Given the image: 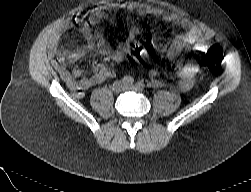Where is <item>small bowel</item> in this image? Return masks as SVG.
Masks as SVG:
<instances>
[{
	"label": "small bowel",
	"instance_id": "obj_1",
	"mask_svg": "<svg viewBox=\"0 0 251 192\" xmlns=\"http://www.w3.org/2000/svg\"><path fill=\"white\" fill-rule=\"evenodd\" d=\"M96 23V20L92 22V24ZM177 25L183 28L185 33L177 36L169 46L167 50L168 59L171 61H177L188 45H194L192 52L196 56H199L200 53L207 48L210 40L209 36L200 28L192 25L188 21H181L177 23ZM56 40L57 38L53 39L52 49H55ZM98 46L105 54L112 56V58L117 62H122L128 54V48L124 45H120L116 49L112 50L108 42L103 37H100ZM91 49V45H85L69 50L65 53V58L61 59L58 63V69L62 80L76 98L83 97L89 88L99 85L115 75L112 68L103 63H99L96 67L94 75L81 78H76L74 76L72 71L67 67V63H77ZM198 71L199 68L194 63H187L178 70L177 78L179 91L188 92L192 89L193 82ZM149 77L155 88H162L165 86V83L159 78V73L156 70H150Z\"/></svg>",
	"mask_w": 251,
	"mask_h": 192
}]
</instances>
